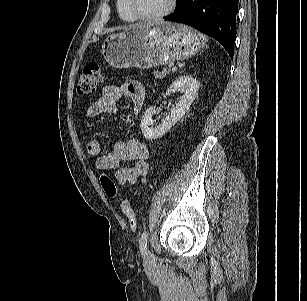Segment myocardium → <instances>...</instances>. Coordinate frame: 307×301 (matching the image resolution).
<instances>
[{"label": "myocardium", "mask_w": 307, "mask_h": 301, "mask_svg": "<svg viewBox=\"0 0 307 301\" xmlns=\"http://www.w3.org/2000/svg\"><path fill=\"white\" fill-rule=\"evenodd\" d=\"M127 4H128L130 11L132 12V14L137 20L156 21V20L163 19L166 16L170 15L176 7L177 0H170L166 9H164L163 11L159 13L152 14V15H144L140 13V11L136 8L133 0H127Z\"/></svg>", "instance_id": "f54148a6"}]
</instances>
